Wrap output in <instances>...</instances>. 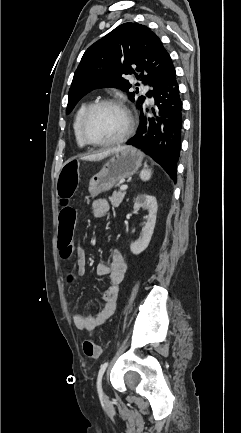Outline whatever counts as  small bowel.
<instances>
[{
	"mask_svg": "<svg viewBox=\"0 0 241 433\" xmlns=\"http://www.w3.org/2000/svg\"><path fill=\"white\" fill-rule=\"evenodd\" d=\"M109 210L110 206L104 199H95L92 203V212L97 218L107 215ZM77 256V272L79 275H83L86 270V255L84 250L79 248L77 250ZM126 270V261L117 250L112 252L111 259L108 264L99 263L96 266L97 275L101 277L107 276L109 279L108 285L102 294V307L96 314L91 316H84L77 313L74 314L73 322L77 329L86 331L91 335L114 314L119 287L124 279Z\"/></svg>",
	"mask_w": 241,
	"mask_h": 433,
	"instance_id": "c3829d8e",
	"label": "small bowel"
}]
</instances>
